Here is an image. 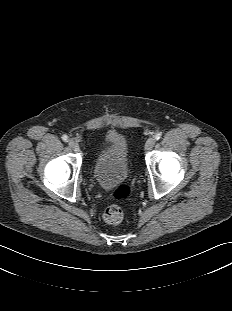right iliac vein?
I'll return each instance as SVG.
<instances>
[{"mask_svg":"<svg viewBox=\"0 0 232 311\" xmlns=\"http://www.w3.org/2000/svg\"><path fill=\"white\" fill-rule=\"evenodd\" d=\"M69 146H70V148H71L72 150H74V151H76V152L79 150V146H78L77 142L74 141V140H70V141H69Z\"/></svg>","mask_w":232,"mask_h":311,"instance_id":"1","label":"right iliac vein"}]
</instances>
